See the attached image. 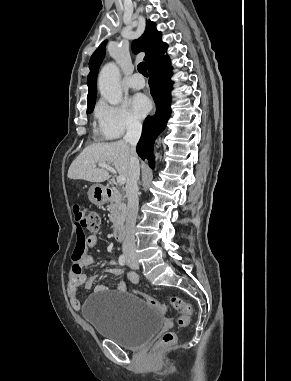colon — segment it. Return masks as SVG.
Here are the masks:
<instances>
[{
  "instance_id": "obj_1",
  "label": "colon",
  "mask_w": 291,
  "mask_h": 381,
  "mask_svg": "<svg viewBox=\"0 0 291 381\" xmlns=\"http://www.w3.org/2000/svg\"><path fill=\"white\" fill-rule=\"evenodd\" d=\"M74 220L77 226V239L78 245L72 255L74 260H79L83 254V240L85 231H96L99 228V217L97 214L89 212L87 209L76 205L73 209ZM145 301H147L155 310L166 313L167 308L164 304L156 300L155 298L146 294H139ZM170 304L176 309L180 315L178 317V324L181 327H185L189 324L191 316L193 314V308L190 304L177 296H172L169 299ZM175 342V334L171 331L164 333L159 342L156 345V350H160L166 346H169Z\"/></svg>"
}]
</instances>
